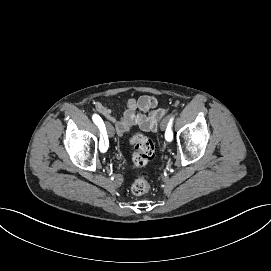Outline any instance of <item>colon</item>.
<instances>
[{
    "mask_svg": "<svg viewBox=\"0 0 271 271\" xmlns=\"http://www.w3.org/2000/svg\"><path fill=\"white\" fill-rule=\"evenodd\" d=\"M130 142L134 146L132 161L136 166L143 167L154 158V145L149 138L137 133L132 136ZM149 190L150 182L145 178L136 179L132 185L135 195L146 194Z\"/></svg>",
    "mask_w": 271,
    "mask_h": 271,
    "instance_id": "5ec220e1",
    "label": "colon"
}]
</instances>
